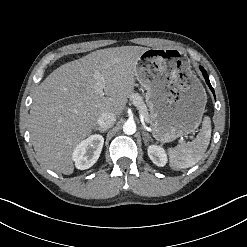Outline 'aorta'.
<instances>
[{
  "label": "aorta",
  "instance_id": "aorta-1",
  "mask_svg": "<svg viewBox=\"0 0 247 247\" xmlns=\"http://www.w3.org/2000/svg\"><path fill=\"white\" fill-rule=\"evenodd\" d=\"M123 131L125 134L127 135H132L136 132V124L134 122L131 121H127L124 125H123Z\"/></svg>",
  "mask_w": 247,
  "mask_h": 247
}]
</instances>
